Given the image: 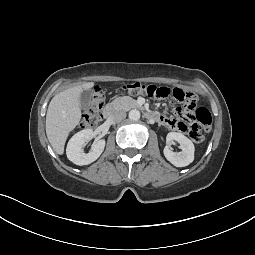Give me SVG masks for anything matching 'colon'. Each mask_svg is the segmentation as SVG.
Masks as SVG:
<instances>
[{
    "mask_svg": "<svg viewBox=\"0 0 255 255\" xmlns=\"http://www.w3.org/2000/svg\"><path fill=\"white\" fill-rule=\"evenodd\" d=\"M122 89L131 94H144L152 98L163 99L171 96L176 101L182 104L175 107V112L180 113L185 118L196 119L205 131L211 129V115L205 108H197V97L191 93L186 92L180 88L169 89L167 87H158L155 85H147L141 82H132L122 87ZM104 105V95L100 87H95L91 101L85 109L82 119V128H94L102 120V108ZM188 134L192 141L199 143L204 140V135L198 130L197 126L193 125Z\"/></svg>",
    "mask_w": 255,
    "mask_h": 255,
    "instance_id": "1",
    "label": "colon"
}]
</instances>
